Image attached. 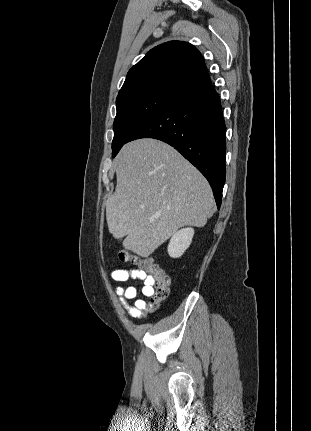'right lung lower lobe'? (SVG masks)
Returning <instances> with one entry per match:
<instances>
[{"mask_svg": "<svg viewBox=\"0 0 311 431\" xmlns=\"http://www.w3.org/2000/svg\"><path fill=\"white\" fill-rule=\"evenodd\" d=\"M225 133L220 99L209 84L162 108L137 127L128 142L154 138L174 147L206 177L220 208L226 175Z\"/></svg>", "mask_w": 311, "mask_h": 431, "instance_id": "right-lung-lower-lobe-1", "label": "right lung lower lobe"}]
</instances>
